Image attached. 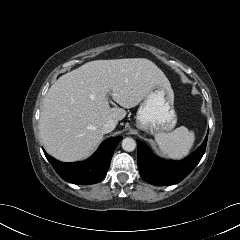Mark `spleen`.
<instances>
[{
    "instance_id": "spleen-1",
    "label": "spleen",
    "mask_w": 240,
    "mask_h": 240,
    "mask_svg": "<svg viewBox=\"0 0 240 240\" xmlns=\"http://www.w3.org/2000/svg\"><path fill=\"white\" fill-rule=\"evenodd\" d=\"M155 140L163 155L181 159L187 156L193 147L195 133L181 126L170 133H157Z\"/></svg>"
}]
</instances>
